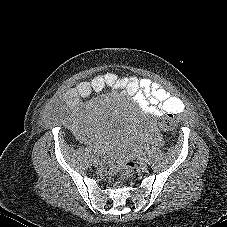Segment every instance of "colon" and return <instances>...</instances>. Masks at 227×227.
<instances>
[{
  "label": "colon",
  "instance_id": "colon-1",
  "mask_svg": "<svg viewBox=\"0 0 227 227\" xmlns=\"http://www.w3.org/2000/svg\"><path fill=\"white\" fill-rule=\"evenodd\" d=\"M179 125H180V118L174 112H167L161 118L160 127L163 130L174 131L179 127ZM106 169L108 170V172L112 173L116 171V166L112 163H108L106 166ZM134 169H135L134 162H131V161L125 162L120 168V172H119L120 177L123 179L129 178L132 175Z\"/></svg>",
  "mask_w": 227,
  "mask_h": 227
}]
</instances>
